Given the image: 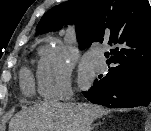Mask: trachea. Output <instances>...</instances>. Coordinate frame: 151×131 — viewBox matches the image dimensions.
I'll return each instance as SVG.
<instances>
[{
	"label": "trachea",
	"instance_id": "obj_1",
	"mask_svg": "<svg viewBox=\"0 0 151 131\" xmlns=\"http://www.w3.org/2000/svg\"><path fill=\"white\" fill-rule=\"evenodd\" d=\"M105 57L109 58V53L108 52L105 53Z\"/></svg>",
	"mask_w": 151,
	"mask_h": 131
}]
</instances>
